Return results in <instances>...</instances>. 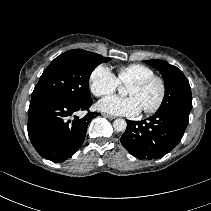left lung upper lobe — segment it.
Masks as SVG:
<instances>
[{"label": "left lung upper lobe", "mask_w": 211, "mask_h": 211, "mask_svg": "<svg viewBox=\"0 0 211 211\" xmlns=\"http://www.w3.org/2000/svg\"><path fill=\"white\" fill-rule=\"evenodd\" d=\"M147 64L156 68L165 82V96L158 111L176 109L189 114L192 108V95L189 82L176 66L162 60H148Z\"/></svg>", "instance_id": "left-lung-upper-lobe-1"}]
</instances>
